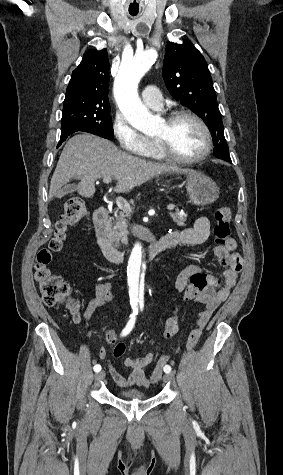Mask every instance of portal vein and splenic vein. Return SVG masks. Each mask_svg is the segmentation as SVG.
<instances>
[{
	"mask_svg": "<svg viewBox=\"0 0 283 475\" xmlns=\"http://www.w3.org/2000/svg\"><path fill=\"white\" fill-rule=\"evenodd\" d=\"M103 182L104 184H111L112 180L111 178H103ZM122 202H126V200H120V198H118V200H116V204L117 206H121ZM124 210L123 212H131V208L129 206V204H124L123 206ZM175 206L174 204H169V206H167V210H174Z\"/></svg>",
	"mask_w": 283,
	"mask_h": 475,
	"instance_id": "obj_1",
	"label": "portal vein and splenic vein"
}]
</instances>
